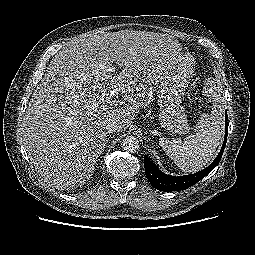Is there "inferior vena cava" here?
<instances>
[{
    "label": "inferior vena cava",
    "instance_id": "inferior-vena-cava-1",
    "mask_svg": "<svg viewBox=\"0 0 255 255\" xmlns=\"http://www.w3.org/2000/svg\"><path fill=\"white\" fill-rule=\"evenodd\" d=\"M119 129V124L115 120H111L106 125V130L108 133H113Z\"/></svg>",
    "mask_w": 255,
    "mask_h": 255
}]
</instances>
